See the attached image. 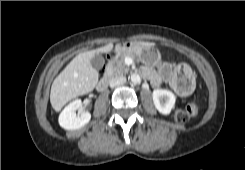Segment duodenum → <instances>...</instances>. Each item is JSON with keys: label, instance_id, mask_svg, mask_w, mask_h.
Here are the masks:
<instances>
[{"label": "duodenum", "instance_id": "1", "mask_svg": "<svg viewBox=\"0 0 245 170\" xmlns=\"http://www.w3.org/2000/svg\"><path fill=\"white\" fill-rule=\"evenodd\" d=\"M127 47V44L126 43H117L115 46H114V50L115 51H118L120 49H123ZM114 56V55H113ZM110 67H111V62H109L108 64V71L110 70ZM109 80H110V76H109V73L107 72L106 74H104L102 76V78L100 79L98 85H97V90L99 92H103L107 87H108V84H109Z\"/></svg>", "mask_w": 245, "mask_h": 170}]
</instances>
